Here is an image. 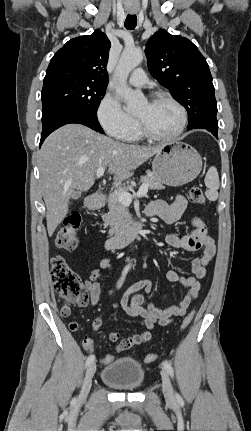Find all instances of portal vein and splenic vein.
Returning <instances> with one entry per match:
<instances>
[{
  "instance_id": "1",
  "label": "portal vein and splenic vein",
  "mask_w": 251,
  "mask_h": 431,
  "mask_svg": "<svg viewBox=\"0 0 251 431\" xmlns=\"http://www.w3.org/2000/svg\"><path fill=\"white\" fill-rule=\"evenodd\" d=\"M104 171H105V167H100L96 171V177L97 178L102 177L103 174H104ZM147 192H148V185L146 183H143L140 186V188H139V190H138L137 193H133V195H132V194H130L128 192H119L117 196H118L119 201L122 204L129 205L132 202L133 197H143V196H146Z\"/></svg>"
}]
</instances>
